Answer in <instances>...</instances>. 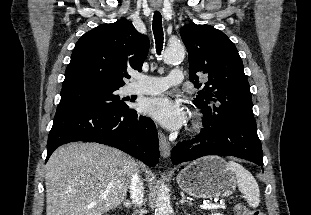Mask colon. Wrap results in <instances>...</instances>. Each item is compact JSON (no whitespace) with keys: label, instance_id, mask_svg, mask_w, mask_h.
<instances>
[{"label":"colon","instance_id":"1","mask_svg":"<svg viewBox=\"0 0 311 215\" xmlns=\"http://www.w3.org/2000/svg\"><path fill=\"white\" fill-rule=\"evenodd\" d=\"M236 215H265L259 210L251 209L245 205H238L236 207Z\"/></svg>","mask_w":311,"mask_h":215}]
</instances>
